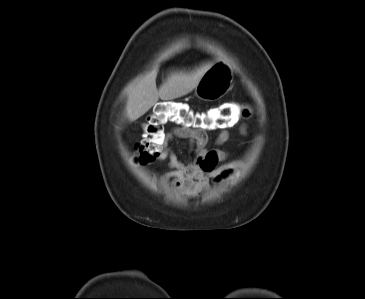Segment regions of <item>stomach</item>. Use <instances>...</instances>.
I'll return each mask as SVG.
<instances>
[{
	"label": "stomach",
	"mask_w": 365,
	"mask_h": 299,
	"mask_svg": "<svg viewBox=\"0 0 365 299\" xmlns=\"http://www.w3.org/2000/svg\"><path fill=\"white\" fill-rule=\"evenodd\" d=\"M233 72L224 62L213 64L195 87V96L204 101L223 97L232 87Z\"/></svg>",
	"instance_id": "0dacf381"
}]
</instances>
